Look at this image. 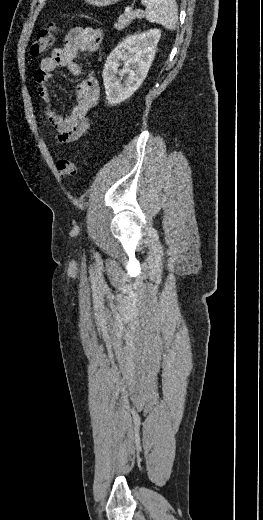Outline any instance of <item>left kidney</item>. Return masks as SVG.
<instances>
[{"label":"left kidney","instance_id":"obj_1","mask_svg":"<svg viewBox=\"0 0 263 520\" xmlns=\"http://www.w3.org/2000/svg\"><path fill=\"white\" fill-rule=\"evenodd\" d=\"M160 36L158 29L128 36L110 53L102 75L108 105L127 100L141 86L154 60ZM120 61L124 66L119 71ZM125 75L127 78L122 82Z\"/></svg>","mask_w":263,"mask_h":520}]
</instances>
